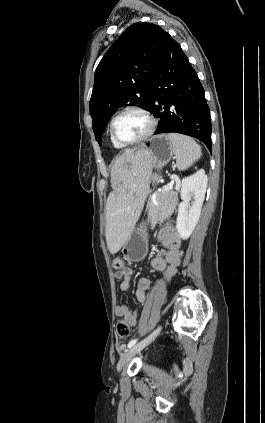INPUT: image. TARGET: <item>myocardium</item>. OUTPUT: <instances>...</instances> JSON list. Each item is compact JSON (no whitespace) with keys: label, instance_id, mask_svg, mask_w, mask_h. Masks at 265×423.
Instances as JSON below:
<instances>
[{"label":"myocardium","instance_id":"myocardium-1","mask_svg":"<svg viewBox=\"0 0 265 423\" xmlns=\"http://www.w3.org/2000/svg\"><path fill=\"white\" fill-rule=\"evenodd\" d=\"M128 112H137V113L142 114L147 119L149 126H148L147 131L142 136H140L139 138L132 140V141H122V140L118 139L115 135L114 123L120 116H122L123 114L128 113ZM156 126H157V121L148 109H146L145 107L140 106V105H128V106H125L124 108L120 109L112 117L110 124H109V132H110L111 139L113 141H115L116 143H118L122 146H129V145H134V144H138L140 142L145 141L147 138H149L155 132Z\"/></svg>","mask_w":265,"mask_h":423}]
</instances>
